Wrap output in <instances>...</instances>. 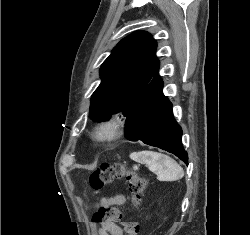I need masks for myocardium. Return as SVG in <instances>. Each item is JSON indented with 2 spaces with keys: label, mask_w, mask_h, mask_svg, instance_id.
<instances>
[{
  "label": "myocardium",
  "mask_w": 250,
  "mask_h": 235,
  "mask_svg": "<svg viewBox=\"0 0 250 235\" xmlns=\"http://www.w3.org/2000/svg\"><path fill=\"white\" fill-rule=\"evenodd\" d=\"M123 130V121L119 116H111L96 123L92 137L98 143H109L117 140Z\"/></svg>",
  "instance_id": "1"
}]
</instances>
